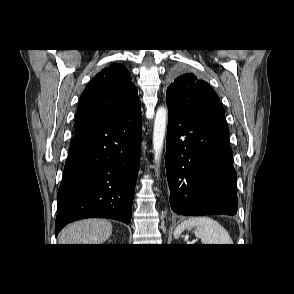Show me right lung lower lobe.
Returning <instances> with one entry per match:
<instances>
[{"mask_svg":"<svg viewBox=\"0 0 294 294\" xmlns=\"http://www.w3.org/2000/svg\"><path fill=\"white\" fill-rule=\"evenodd\" d=\"M141 130L140 102L111 120L75 129L57 195L56 236L83 218L130 223Z\"/></svg>","mask_w":294,"mask_h":294,"instance_id":"right-lung-lower-lobe-1","label":"right lung lower lobe"}]
</instances>
